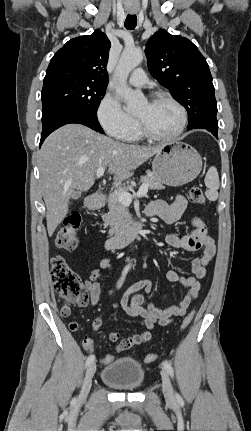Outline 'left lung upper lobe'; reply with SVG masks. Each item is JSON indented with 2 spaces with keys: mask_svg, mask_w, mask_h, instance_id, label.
Masks as SVG:
<instances>
[{
  "mask_svg": "<svg viewBox=\"0 0 251 431\" xmlns=\"http://www.w3.org/2000/svg\"><path fill=\"white\" fill-rule=\"evenodd\" d=\"M145 53L152 76L186 108L187 129H217L212 76L198 48L189 39L161 29L147 41Z\"/></svg>",
  "mask_w": 251,
  "mask_h": 431,
  "instance_id": "5c2ea615",
  "label": "left lung upper lobe"
}]
</instances>
